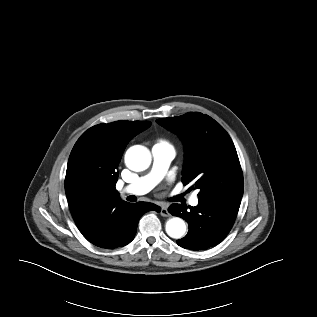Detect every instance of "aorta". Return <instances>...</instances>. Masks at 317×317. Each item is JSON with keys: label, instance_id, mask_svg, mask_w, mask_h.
<instances>
[{"label": "aorta", "instance_id": "aorta-1", "mask_svg": "<svg viewBox=\"0 0 317 317\" xmlns=\"http://www.w3.org/2000/svg\"><path fill=\"white\" fill-rule=\"evenodd\" d=\"M125 164L136 172L146 170L151 164L149 149L142 145L130 147L125 154ZM165 230L171 238L180 239L186 232V224L183 219L172 217L166 222Z\"/></svg>", "mask_w": 317, "mask_h": 317}]
</instances>
